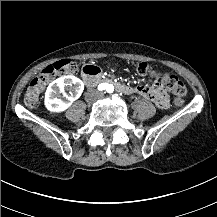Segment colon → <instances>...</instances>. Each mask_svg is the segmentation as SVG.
I'll return each instance as SVG.
<instances>
[{
  "label": "colon",
  "mask_w": 217,
  "mask_h": 217,
  "mask_svg": "<svg viewBox=\"0 0 217 217\" xmlns=\"http://www.w3.org/2000/svg\"><path fill=\"white\" fill-rule=\"evenodd\" d=\"M79 66L73 58H64L52 63L47 69H40L39 73L30 82L24 95V104L28 108H34L38 103L39 93L44 86L50 82L57 81L63 76L73 75L78 72ZM135 69L138 72H145L147 65L143 61H138L135 64ZM160 80L158 85L163 88H168L173 94H178L174 97L176 105H182L186 98H179V95L188 93L186 85L175 75L162 72L159 74ZM155 98H158L157 93H152Z\"/></svg>",
  "instance_id": "1"
}]
</instances>
